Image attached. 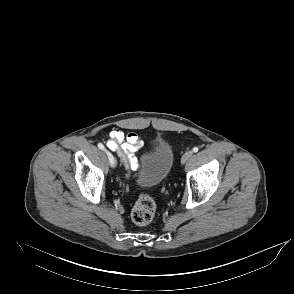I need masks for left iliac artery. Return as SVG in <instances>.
I'll use <instances>...</instances> for the list:
<instances>
[{
  "instance_id": "obj_1",
  "label": "left iliac artery",
  "mask_w": 294,
  "mask_h": 294,
  "mask_svg": "<svg viewBox=\"0 0 294 294\" xmlns=\"http://www.w3.org/2000/svg\"><path fill=\"white\" fill-rule=\"evenodd\" d=\"M198 150H199L198 147H194V148H193V152H195V153L198 152Z\"/></svg>"
}]
</instances>
